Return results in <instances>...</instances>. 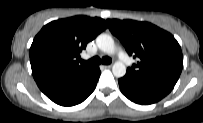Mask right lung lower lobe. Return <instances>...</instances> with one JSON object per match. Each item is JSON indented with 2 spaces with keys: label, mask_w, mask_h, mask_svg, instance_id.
I'll use <instances>...</instances> for the list:
<instances>
[{
  "label": "right lung lower lobe",
  "mask_w": 203,
  "mask_h": 123,
  "mask_svg": "<svg viewBox=\"0 0 203 123\" xmlns=\"http://www.w3.org/2000/svg\"><path fill=\"white\" fill-rule=\"evenodd\" d=\"M99 76L100 69L95 66L84 72L48 74L35 81L50 100L69 107L83 102L94 91Z\"/></svg>",
  "instance_id": "obj_1"
}]
</instances>
